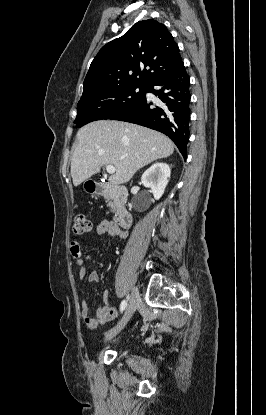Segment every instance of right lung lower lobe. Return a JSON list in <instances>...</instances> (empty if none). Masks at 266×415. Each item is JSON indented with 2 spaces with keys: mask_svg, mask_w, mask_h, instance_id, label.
Here are the masks:
<instances>
[{
  "mask_svg": "<svg viewBox=\"0 0 266 415\" xmlns=\"http://www.w3.org/2000/svg\"><path fill=\"white\" fill-rule=\"evenodd\" d=\"M156 86V88H154ZM190 79L184 65L177 71L161 77L147 87V92L158 96L159 105L147 101L146 96L137 105L113 116L142 125L167 135L186 159L190 121Z\"/></svg>",
  "mask_w": 266,
  "mask_h": 415,
  "instance_id": "98d812e1",
  "label": "right lung lower lobe"
}]
</instances>
